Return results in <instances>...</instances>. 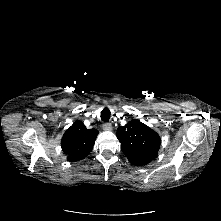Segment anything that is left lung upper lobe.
Here are the masks:
<instances>
[{"mask_svg": "<svg viewBox=\"0 0 221 221\" xmlns=\"http://www.w3.org/2000/svg\"><path fill=\"white\" fill-rule=\"evenodd\" d=\"M117 138L128 160L138 166L146 165L155 159L160 147L159 135L135 119L117 129Z\"/></svg>", "mask_w": 221, "mask_h": 221, "instance_id": "left-lung-upper-lobe-1", "label": "left lung upper lobe"}]
</instances>
